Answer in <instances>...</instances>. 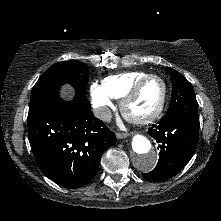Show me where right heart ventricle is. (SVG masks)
<instances>
[{
  "label": "right heart ventricle",
  "mask_w": 221,
  "mask_h": 221,
  "mask_svg": "<svg viewBox=\"0 0 221 221\" xmlns=\"http://www.w3.org/2000/svg\"><path fill=\"white\" fill-rule=\"evenodd\" d=\"M148 74L144 71H132L110 75L103 79L102 86L112 98L122 99L139 79Z\"/></svg>",
  "instance_id": "1"
}]
</instances>
